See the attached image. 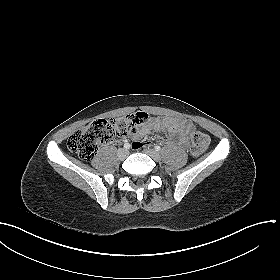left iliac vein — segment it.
<instances>
[{
    "label": "left iliac vein",
    "mask_w": 280,
    "mask_h": 280,
    "mask_svg": "<svg viewBox=\"0 0 280 280\" xmlns=\"http://www.w3.org/2000/svg\"><path fill=\"white\" fill-rule=\"evenodd\" d=\"M145 153L148 154L155 161H159L160 160V154L157 151L153 150V149H146Z\"/></svg>",
    "instance_id": "left-iliac-vein-1"
}]
</instances>
